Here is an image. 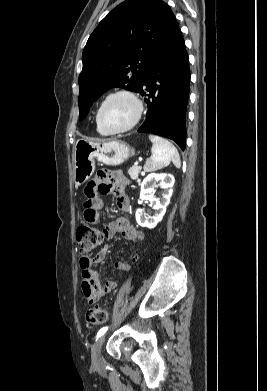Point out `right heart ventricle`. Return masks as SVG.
<instances>
[{
  "label": "right heart ventricle",
  "instance_id": "1",
  "mask_svg": "<svg viewBox=\"0 0 267 391\" xmlns=\"http://www.w3.org/2000/svg\"><path fill=\"white\" fill-rule=\"evenodd\" d=\"M95 125H96V131L103 136L109 135V133L105 132L98 124L97 120H95Z\"/></svg>",
  "mask_w": 267,
  "mask_h": 391
}]
</instances>
